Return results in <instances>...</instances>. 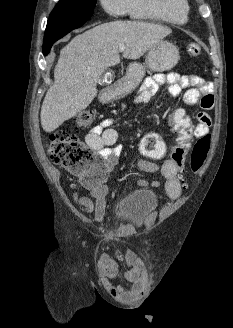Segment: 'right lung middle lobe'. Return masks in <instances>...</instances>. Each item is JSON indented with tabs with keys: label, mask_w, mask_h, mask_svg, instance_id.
Segmentation results:
<instances>
[{
	"label": "right lung middle lobe",
	"mask_w": 233,
	"mask_h": 328,
	"mask_svg": "<svg viewBox=\"0 0 233 328\" xmlns=\"http://www.w3.org/2000/svg\"><path fill=\"white\" fill-rule=\"evenodd\" d=\"M96 0H60L50 17H91Z\"/></svg>",
	"instance_id": "dd1d6c3e"
}]
</instances>
